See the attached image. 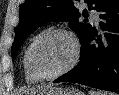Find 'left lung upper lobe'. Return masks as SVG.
<instances>
[{"instance_id":"1","label":"left lung upper lobe","mask_w":119,"mask_h":95,"mask_svg":"<svg viewBox=\"0 0 119 95\" xmlns=\"http://www.w3.org/2000/svg\"><path fill=\"white\" fill-rule=\"evenodd\" d=\"M105 1L84 0L89 5V10H97ZM75 2L76 0H26L19 12L20 22L12 45V59L14 60L17 50L32 32L51 21H69L70 28L82 41L92 26L79 22L78 18L81 14L74 6ZM85 14L86 10L82 15Z\"/></svg>"}]
</instances>
